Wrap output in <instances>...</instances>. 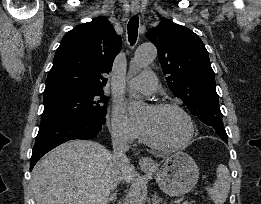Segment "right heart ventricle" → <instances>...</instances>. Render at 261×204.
Here are the masks:
<instances>
[{
    "instance_id": "right-heart-ventricle-1",
    "label": "right heart ventricle",
    "mask_w": 261,
    "mask_h": 204,
    "mask_svg": "<svg viewBox=\"0 0 261 204\" xmlns=\"http://www.w3.org/2000/svg\"><path fill=\"white\" fill-rule=\"evenodd\" d=\"M141 139H142L143 141H145L144 135L141 136Z\"/></svg>"
}]
</instances>
